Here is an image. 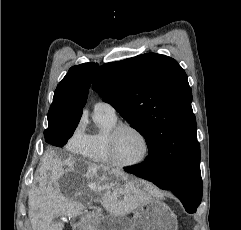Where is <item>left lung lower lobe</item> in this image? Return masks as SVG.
I'll list each match as a JSON object with an SVG mask.
<instances>
[{"instance_id": "obj_1", "label": "left lung lower lobe", "mask_w": 241, "mask_h": 230, "mask_svg": "<svg viewBox=\"0 0 241 230\" xmlns=\"http://www.w3.org/2000/svg\"><path fill=\"white\" fill-rule=\"evenodd\" d=\"M125 171L149 180L161 189L171 190L183 203L188 213L196 212L202 199L200 165L193 167L177 186L169 184V160L160 149L149 153L140 166L125 168Z\"/></svg>"}]
</instances>
